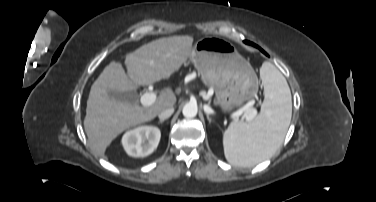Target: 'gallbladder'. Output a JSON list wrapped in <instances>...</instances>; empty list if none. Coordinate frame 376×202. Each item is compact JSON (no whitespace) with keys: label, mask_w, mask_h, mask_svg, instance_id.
I'll return each instance as SVG.
<instances>
[{"label":"gallbladder","mask_w":376,"mask_h":202,"mask_svg":"<svg viewBox=\"0 0 376 202\" xmlns=\"http://www.w3.org/2000/svg\"><path fill=\"white\" fill-rule=\"evenodd\" d=\"M108 95L116 101H128L135 96V91L119 92L116 90H108Z\"/></svg>","instance_id":"1"}]
</instances>
